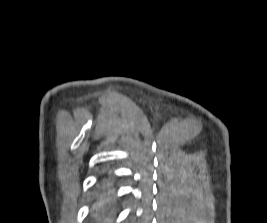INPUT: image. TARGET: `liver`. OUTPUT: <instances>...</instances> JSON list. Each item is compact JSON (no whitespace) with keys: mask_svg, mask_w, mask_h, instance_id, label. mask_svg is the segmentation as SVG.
<instances>
[{"mask_svg":"<svg viewBox=\"0 0 267 223\" xmlns=\"http://www.w3.org/2000/svg\"><path fill=\"white\" fill-rule=\"evenodd\" d=\"M104 206V202H99L97 205H96V208H101Z\"/></svg>","mask_w":267,"mask_h":223,"instance_id":"obj_1","label":"liver"}]
</instances>
